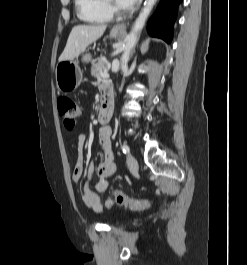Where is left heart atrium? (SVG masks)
Segmentation results:
<instances>
[{
	"instance_id": "left-heart-atrium-1",
	"label": "left heart atrium",
	"mask_w": 247,
	"mask_h": 265,
	"mask_svg": "<svg viewBox=\"0 0 247 265\" xmlns=\"http://www.w3.org/2000/svg\"><path fill=\"white\" fill-rule=\"evenodd\" d=\"M116 2L121 8H130L137 2V0H116Z\"/></svg>"
}]
</instances>
